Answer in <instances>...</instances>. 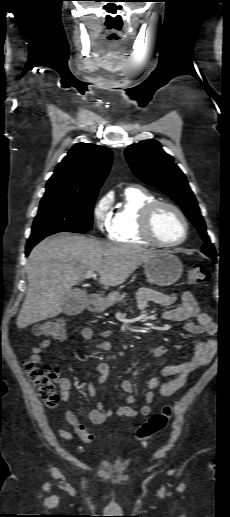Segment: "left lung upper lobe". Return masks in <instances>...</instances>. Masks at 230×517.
<instances>
[{
  "label": "left lung upper lobe",
  "instance_id": "5c2ea615",
  "mask_svg": "<svg viewBox=\"0 0 230 517\" xmlns=\"http://www.w3.org/2000/svg\"><path fill=\"white\" fill-rule=\"evenodd\" d=\"M125 156L133 173L146 184L168 194L178 205L201 234L205 245L201 251L216 261V252L206 232L204 219L196 198L191 191L184 173L174 163L156 140L149 139L130 145Z\"/></svg>",
  "mask_w": 230,
  "mask_h": 517
}]
</instances>
